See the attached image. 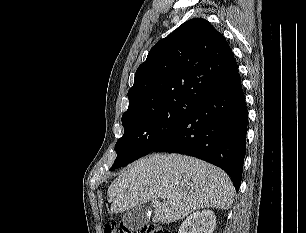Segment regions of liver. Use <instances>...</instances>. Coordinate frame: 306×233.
Segmentation results:
<instances>
[{"mask_svg": "<svg viewBox=\"0 0 306 233\" xmlns=\"http://www.w3.org/2000/svg\"><path fill=\"white\" fill-rule=\"evenodd\" d=\"M234 192L229 176L212 164L180 154H152L112 182L108 200L114 214L151 201L153 222L171 223L206 207L228 210Z\"/></svg>", "mask_w": 306, "mask_h": 233, "instance_id": "1", "label": "liver"}]
</instances>
